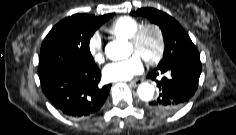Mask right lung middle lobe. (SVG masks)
I'll use <instances>...</instances> for the list:
<instances>
[{
	"mask_svg": "<svg viewBox=\"0 0 236 135\" xmlns=\"http://www.w3.org/2000/svg\"><path fill=\"white\" fill-rule=\"evenodd\" d=\"M114 13L100 17L76 14L56 24L45 37L40 51V66L61 64L70 58L96 66L89 49L94 32Z\"/></svg>",
	"mask_w": 236,
	"mask_h": 135,
	"instance_id": "dd1d6c3e",
	"label": "right lung middle lobe"
}]
</instances>
